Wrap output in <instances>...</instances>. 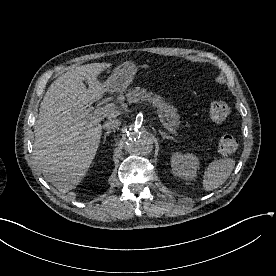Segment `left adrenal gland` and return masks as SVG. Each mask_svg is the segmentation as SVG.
<instances>
[{
	"label": "left adrenal gland",
	"instance_id": "obj_1",
	"mask_svg": "<svg viewBox=\"0 0 276 276\" xmlns=\"http://www.w3.org/2000/svg\"><path fill=\"white\" fill-rule=\"evenodd\" d=\"M159 133L162 135L163 139H170V140H175L173 136H170L169 134L159 130Z\"/></svg>",
	"mask_w": 276,
	"mask_h": 276
}]
</instances>
